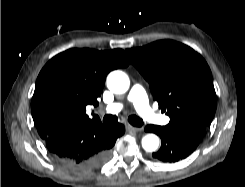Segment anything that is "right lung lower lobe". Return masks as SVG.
Wrapping results in <instances>:
<instances>
[{
  "label": "right lung lower lobe",
  "mask_w": 245,
  "mask_h": 187,
  "mask_svg": "<svg viewBox=\"0 0 245 187\" xmlns=\"http://www.w3.org/2000/svg\"><path fill=\"white\" fill-rule=\"evenodd\" d=\"M125 132L122 124L104 126L100 121L57 130L44 139L53 157L68 169L90 171L101 167Z\"/></svg>",
  "instance_id": "98d812e1"
}]
</instances>
